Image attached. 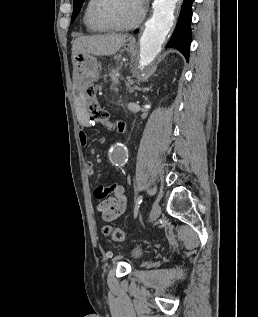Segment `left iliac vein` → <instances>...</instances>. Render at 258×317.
<instances>
[{
	"label": "left iliac vein",
	"instance_id": "1",
	"mask_svg": "<svg viewBox=\"0 0 258 317\" xmlns=\"http://www.w3.org/2000/svg\"><path fill=\"white\" fill-rule=\"evenodd\" d=\"M160 205L158 203H153V208L150 211L149 223H154V219H157L160 216Z\"/></svg>",
	"mask_w": 258,
	"mask_h": 317
}]
</instances>
